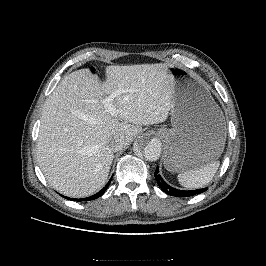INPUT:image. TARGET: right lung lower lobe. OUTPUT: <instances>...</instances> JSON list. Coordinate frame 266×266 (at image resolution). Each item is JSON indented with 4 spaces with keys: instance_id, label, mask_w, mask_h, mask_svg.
<instances>
[{
    "instance_id": "98d812e1",
    "label": "right lung lower lobe",
    "mask_w": 266,
    "mask_h": 266,
    "mask_svg": "<svg viewBox=\"0 0 266 266\" xmlns=\"http://www.w3.org/2000/svg\"><path fill=\"white\" fill-rule=\"evenodd\" d=\"M110 182H111V179L109 180V182L106 184V186L102 190H100L98 193H96L93 196H90V197H87V198H83V199H73V198H68V197H65V198H67L69 200H74V201H89V200H94V199H96V198H98V197H100V196H102L104 194V192L107 190Z\"/></svg>"
}]
</instances>
